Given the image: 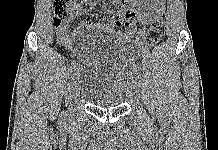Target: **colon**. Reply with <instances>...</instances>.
Segmentation results:
<instances>
[{
  "label": "colon",
  "instance_id": "1",
  "mask_svg": "<svg viewBox=\"0 0 218 150\" xmlns=\"http://www.w3.org/2000/svg\"><path fill=\"white\" fill-rule=\"evenodd\" d=\"M74 0H54L53 14L54 25L59 27L61 22L71 14L72 4ZM124 17L121 13L115 14L108 22L112 30L123 24ZM166 21L165 14L162 13L152 23L146 35L145 43L149 47H153L158 43L165 32ZM118 39L122 41H136L137 35L134 30H124L118 35Z\"/></svg>",
  "mask_w": 218,
  "mask_h": 150
}]
</instances>
